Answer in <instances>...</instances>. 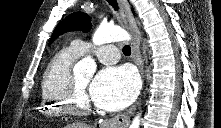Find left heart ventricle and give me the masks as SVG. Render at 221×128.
Wrapping results in <instances>:
<instances>
[{
	"label": "left heart ventricle",
	"instance_id": "obj_1",
	"mask_svg": "<svg viewBox=\"0 0 221 128\" xmlns=\"http://www.w3.org/2000/svg\"><path fill=\"white\" fill-rule=\"evenodd\" d=\"M77 82H78V85L80 86V88L85 92L87 81H85L83 79H77Z\"/></svg>",
	"mask_w": 221,
	"mask_h": 128
}]
</instances>
